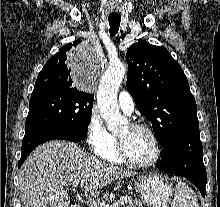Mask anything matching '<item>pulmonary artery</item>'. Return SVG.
Wrapping results in <instances>:
<instances>
[{
	"label": "pulmonary artery",
	"instance_id": "pulmonary-artery-1",
	"mask_svg": "<svg viewBox=\"0 0 220 207\" xmlns=\"http://www.w3.org/2000/svg\"><path fill=\"white\" fill-rule=\"evenodd\" d=\"M119 107L127 114H131L134 110L135 104L132 96L127 91H121L118 95Z\"/></svg>",
	"mask_w": 220,
	"mask_h": 207
}]
</instances>
